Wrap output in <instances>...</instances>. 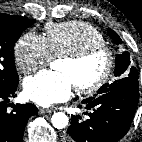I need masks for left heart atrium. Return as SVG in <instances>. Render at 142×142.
I'll return each mask as SVG.
<instances>
[{
	"instance_id": "39dd6f15",
	"label": "left heart atrium",
	"mask_w": 142,
	"mask_h": 142,
	"mask_svg": "<svg viewBox=\"0 0 142 142\" xmlns=\"http://www.w3.org/2000/svg\"><path fill=\"white\" fill-rule=\"evenodd\" d=\"M71 78L64 72L43 70L24 82V92L33 102L49 106L68 99L73 89Z\"/></svg>"
}]
</instances>
